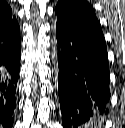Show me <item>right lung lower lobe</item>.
<instances>
[{
  "instance_id": "right-lung-lower-lobe-1",
  "label": "right lung lower lobe",
  "mask_w": 125,
  "mask_h": 128,
  "mask_svg": "<svg viewBox=\"0 0 125 128\" xmlns=\"http://www.w3.org/2000/svg\"><path fill=\"white\" fill-rule=\"evenodd\" d=\"M21 38L18 22L0 30V122L12 128L19 77Z\"/></svg>"
}]
</instances>
